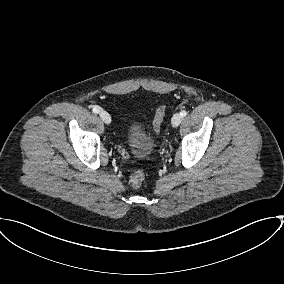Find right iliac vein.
Masks as SVG:
<instances>
[{"label": "right iliac vein", "mask_w": 284, "mask_h": 284, "mask_svg": "<svg viewBox=\"0 0 284 284\" xmlns=\"http://www.w3.org/2000/svg\"><path fill=\"white\" fill-rule=\"evenodd\" d=\"M100 118L102 119V121L106 124H110L111 123V116L109 115L108 112L101 110L99 112Z\"/></svg>", "instance_id": "right-iliac-vein-1"}]
</instances>
